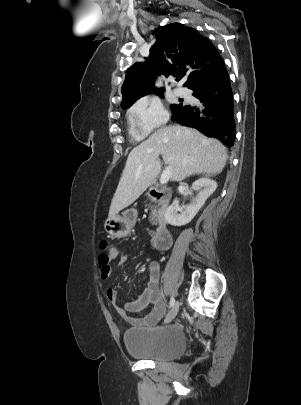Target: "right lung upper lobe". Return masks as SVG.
Listing matches in <instances>:
<instances>
[{
	"instance_id": "cb5924a9",
	"label": "right lung upper lobe",
	"mask_w": 301,
	"mask_h": 405,
	"mask_svg": "<svg viewBox=\"0 0 301 405\" xmlns=\"http://www.w3.org/2000/svg\"><path fill=\"white\" fill-rule=\"evenodd\" d=\"M224 65L216 47L196 29L180 23L160 27L146 61L136 62L126 72L121 107H130L146 94L163 93V88L153 85L157 75L185 77L184 86L191 89L214 78Z\"/></svg>"
}]
</instances>
